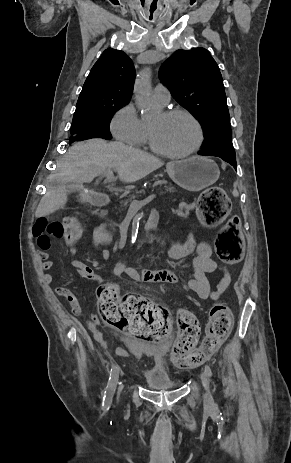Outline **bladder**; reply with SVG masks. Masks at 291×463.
I'll list each match as a JSON object with an SVG mask.
<instances>
[{
    "instance_id": "bladder-1",
    "label": "bladder",
    "mask_w": 291,
    "mask_h": 463,
    "mask_svg": "<svg viewBox=\"0 0 291 463\" xmlns=\"http://www.w3.org/2000/svg\"><path fill=\"white\" fill-rule=\"evenodd\" d=\"M125 348L134 358L148 356L152 362V368L143 374V379L148 388L166 389L176 388L181 385L180 380H174L170 377L166 369V359L163 354L150 352L149 345L137 340L128 338L124 341Z\"/></svg>"
}]
</instances>
